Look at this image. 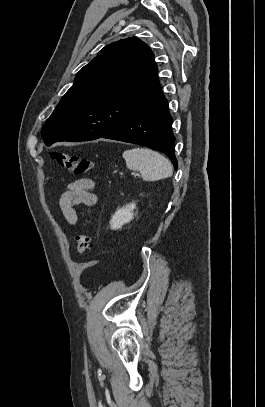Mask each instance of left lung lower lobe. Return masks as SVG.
Segmentation results:
<instances>
[{
    "label": "left lung lower lobe",
    "mask_w": 265,
    "mask_h": 407,
    "mask_svg": "<svg viewBox=\"0 0 265 407\" xmlns=\"http://www.w3.org/2000/svg\"><path fill=\"white\" fill-rule=\"evenodd\" d=\"M172 117L168 109V101L164 95L153 105L134 115L102 138L113 139L147 146L164 152L177 169L174 154Z\"/></svg>",
    "instance_id": "1"
}]
</instances>
